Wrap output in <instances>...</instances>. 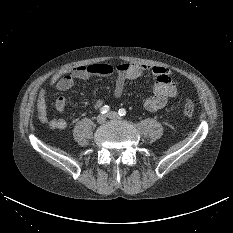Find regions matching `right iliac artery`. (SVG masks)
Listing matches in <instances>:
<instances>
[{
	"label": "right iliac artery",
	"instance_id": "right-iliac-artery-1",
	"mask_svg": "<svg viewBox=\"0 0 233 233\" xmlns=\"http://www.w3.org/2000/svg\"><path fill=\"white\" fill-rule=\"evenodd\" d=\"M110 110L109 106H103L101 109H100V113L101 114H105L107 113L108 111Z\"/></svg>",
	"mask_w": 233,
	"mask_h": 233
}]
</instances>
